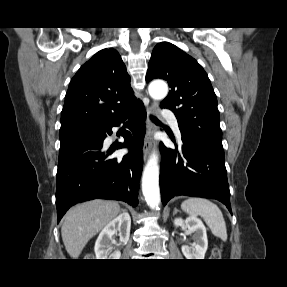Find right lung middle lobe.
I'll list each match as a JSON object with an SVG mask.
<instances>
[{
	"label": "right lung middle lobe",
	"instance_id": "right-lung-middle-lobe-1",
	"mask_svg": "<svg viewBox=\"0 0 287 287\" xmlns=\"http://www.w3.org/2000/svg\"><path fill=\"white\" fill-rule=\"evenodd\" d=\"M96 128L97 126L86 123H74L61 126L59 132L60 141L77 136L93 135L95 134Z\"/></svg>",
	"mask_w": 287,
	"mask_h": 287
}]
</instances>
